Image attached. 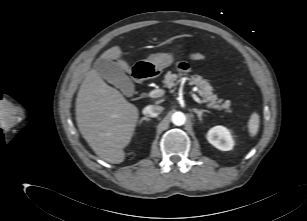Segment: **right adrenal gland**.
Returning <instances> with one entry per match:
<instances>
[{
	"instance_id": "2a0ac1e0",
	"label": "right adrenal gland",
	"mask_w": 307,
	"mask_h": 221,
	"mask_svg": "<svg viewBox=\"0 0 307 221\" xmlns=\"http://www.w3.org/2000/svg\"><path fill=\"white\" fill-rule=\"evenodd\" d=\"M150 121V119L149 118H147V117H143V118H141V120L139 121V123H142V121Z\"/></svg>"
}]
</instances>
